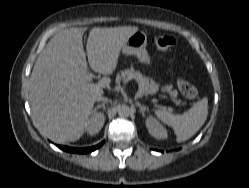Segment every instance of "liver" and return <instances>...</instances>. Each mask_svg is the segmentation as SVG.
I'll return each mask as SVG.
<instances>
[{"label": "liver", "mask_w": 249, "mask_h": 188, "mask_svg": "<svg viewBox=\"0 0 249 188\" xmlns=\"http://www.w3.org/2000/svg\"><path fill=\"white\" fill-rule=\"evenodd\" d=\"M86 28L57 33L38 56L29 85L31 110L41 133L56 143L77 141L85 132L97 98L110 80H86L87 60L82 37ZM138 27L92 28L86 51L95 72L110 75L120 51Z\"/></svg>", "instance_id": "obj_1"}]
</instances>
